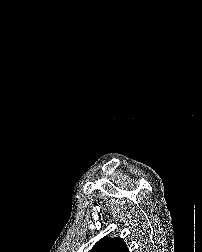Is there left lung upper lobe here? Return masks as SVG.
<instances>
[{"label": "left lung upper lobe", "instance_id": "left-lung-upper-lobe-1", "mask_svg": "<svg viewBox=\"0 0 202 252\" xmlns=\"http://www.w3.org/2000/svg\"><path fill=\"white\" fill-rule=\"evenodd\" d=\"M90 252H129L121 238H107L99 240Z\"/></svg>", "mask_w": 202, "mask_h": 252}]
</instances>
